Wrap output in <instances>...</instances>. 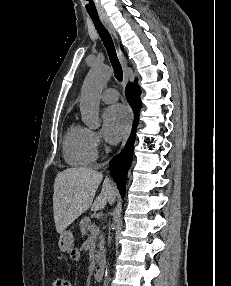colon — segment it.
Listing matches in <instances>:
<instances>
[{
  "mask_svg": "<svg viewBox=\"0 0 231 286\" xmlns=\"http://www.w3.org/2000/svg\"><path fill=\"white\" fill-rule=\"evenodd\" d=\"M53 286H71V284L68 280L59 278L54 281Z\"/></svg>",
  "mask_w": 231,
  "mask_h": 286,
  "instance_id": "obj_1",
  "label": "colon"
}]
</instances>
